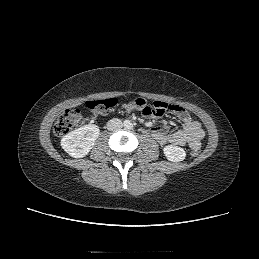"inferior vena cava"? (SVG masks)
I'll use <instances>...</instances> for the list:
<instances>
[{"instance_id":"inferior-vena-cava-1","label":"inferior vena cava","mask_w":259,"mask_h":259,"mask_svg":"<svg viewBox=\"0 0 259 259\" xmlns=\"http://www.w3.org/2000/svg\"><path fill=\"white\" fill-rule=\"evenodd\" d=\"M122 127H123L122 121L117 118H113V119L109 120L107 123V129L109 131H116V130L121 129Z\"/></svg>"}]
</instances>
